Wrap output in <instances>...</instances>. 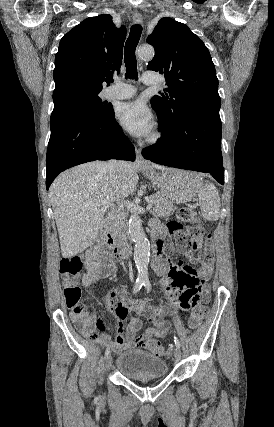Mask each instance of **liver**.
Instances as JSON below:
<instances>
[{"mask_svg": "<svg viewBox=\"0 0 274 427\" xmlns=\"http://www.w3.org/2000/svg\"><path fill=\"white\" fill-rule=\"evenodd\" d=\"M119 164L120 172L109 170L107 162L81 164L60 174L51 184L49 192L63 257H72L92 245L108 208L134 192L139 180L136 166ZM151 168L168 170L156 164Z\"/></svg>", "mask_w": 274, "mask_h": 427, "instance_id": "obj_1", "label": "liver"}]
</instances>
